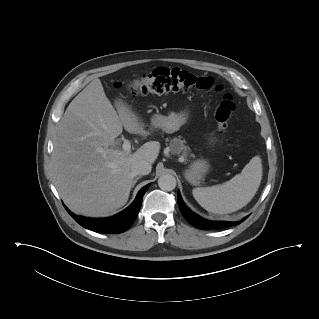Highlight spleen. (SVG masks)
I'll list each match as a JSON object with an SVG mask.
<instances>
[{
  "instance_id": "1",
  "label": "spleen",
  "mask_w": 319,
  "mask_h": 319,
  "mask_svg": "<svg viewBox=\"0 0 319 319\" xmlns=\"http://www.w3.org/2000/svg\"><path fill=\"white\" fill-rule=\"evenodd\" d=\"M262 180V163L259 156L253 157L229 181L212 187L192 190L193 197L208 212L227 214L246 206L256 194Z\"/></svg>"
}]
</instances>
